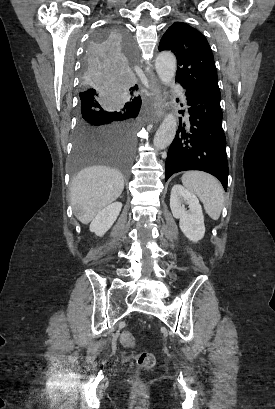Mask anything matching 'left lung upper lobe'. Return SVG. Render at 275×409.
Returning a JSON list of instances; mask_svg holds the SVG:
<instances>
[{
  "label": "left lung upper lobe",
  "mask_w": 275,
  "mask_h": 409,
  "mask_svg": "<svg viewBox=\"0 0 275 409\" xmlns=\"http://www.w3.org/2000/svg\"><path fill=\"white\" fill-rule=\"evenodd\" d=\"M159 50H171L175 54L176 81L185 89L220 100L213 54L198 30L186 23H173L161 38Z\"/></svg>",
  "instance_id": "left-lung-upper-lobe-1"
}]
</instances>
